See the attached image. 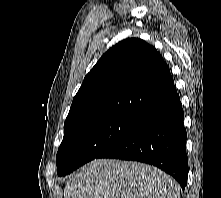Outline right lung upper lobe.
<instances>
[{
  "instance_id": "cb5924a9",
  "label": "right lung upper lobe",
  "mask_w": 221,
  "mask_h": 198,
  "mask_svg": "<svg viewBox=\"0 0 221 198\" xmlns=\"http://www.w3.org/2000/svg\"><path fill=\"white\" fill-rule=\"evenodd\" d=\"M175 92L160 53L141 39H125L103 54L84 78L64 133L112 115L142 118Z\"/></svg>"
}]
</instances>
